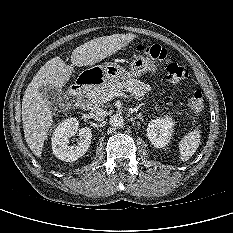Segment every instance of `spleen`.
Listing matches in <instances>:
<instances>
[{
	"label": "spleen",
	"mask_w": 233,
	"mask_h": 233,
	"mask_svg": "<svg viewBox=\"0 0 233 233\" xmlns=\"http://www.w3.org/2000/svg\"><path fill=\"white\" fill-rule=\"evenodd\" d=\"M201 134L199 130H193L185 135L179 142L181 161L189 160L199 147Z\"/></svg>",
	"instance_id": "1"
}]
</instances>
